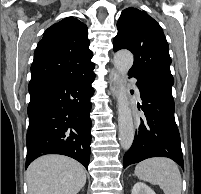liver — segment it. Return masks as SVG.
I'll return each instance as SVG.
<instances>
[{
    "label": "liver",
    "mask_w": 201,
    "mask_h": 194,
    "mask_svg": "<svg viewBox=\"0 0 201 194\" xmlns=\"http://www.w3.org/2000/svg\"><path fill=\"white\" fill-rule=\"evenodd\" d=\"M28 194H77L86 183L84 167L62 155L33 161L26 172Z\"/></svg>",
    "instance_id": "1"
}]
</instances>
